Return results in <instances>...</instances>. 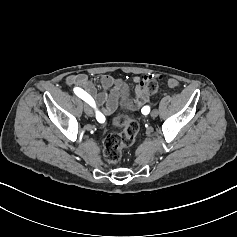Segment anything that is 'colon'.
I'll use <instances>...</instances> for the list:
<instances>
[{"instance_id": "5ec220e1", "label": "colon", "mask_w": 237, "mask_h": 237, "mask_svg": "<svg viewBox=\"0 0 237 237\" xmlns=\"http://www.w3.org/2000/svg\"><path fill=\"white\" fill-rule=\"evenodd\" d=\"M161 77L159 78V80ZM159 88L158 80H149L144 84L143 92L145 95L154 94ZM116 126L122 128L121 133L108 134L103 142V156L109 164H118L122 158L124 147L131 146L139 132L137 121L126 116H117L113 122Z\"/></svg>"}]
</instances>
